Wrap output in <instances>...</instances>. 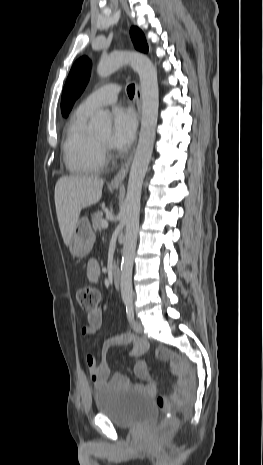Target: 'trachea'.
Returning a JSON list of instances; mask_svg holds the SVG:
<instances>
[{"label": "trachea", "instance_id": "3493384b", "mask_svg": "<svg viewBox=\"0 0 263 465\" xmlns=\"http://www.w3.org/2000/svg\"><path fill=\"white\" fill-rule=\"evenodd\" d=\"M127 93L129 95V97H133L134 96V93H135V85H129L127 87Z\"/></svg>", "mask_w": 263, "mask_h": 465}]
</instances>
